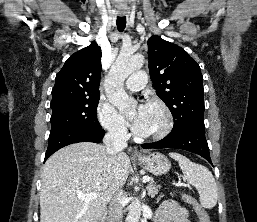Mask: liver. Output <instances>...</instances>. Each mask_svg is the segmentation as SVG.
Returning <instances> with one entry per match:
<instances>
[{
    "label": "liver",
    "instance_id": "liver-1",
    "mask_svg": "<svg viewBox=\"0 0 257 222\" xmlns=\"http://www.w3.org/2000/svg\"><path fill=\"white\" fill-rule=\"evenodd\" d=\"M130 159L111 157L106 147L80 142L54 153L45 163L40 192V222H97L126 183ZM97 193L86 201L80 194Z\"/></svg>",
    "mask_w": 257,
    "mask_h": 222
}]
</instances>
